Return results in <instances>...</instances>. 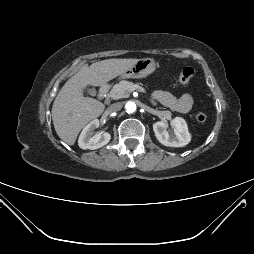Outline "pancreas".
<instances>
[{"label":"pancreas","instance_id":"cf45deb5","mask_svg":"<svg viewBox=\"0 0 254 254\" xmlns=\"http://www.w3.org/2000/svg\"><path fill=\"white\" fill-rule=\"evenodd\" d=\"M139 86L137 83L122 80L118 84H115L109 93L111 99H120L129 97L132 88Z\"/></svg>","mask_w":254,"mask_h":254}]
</instances>
